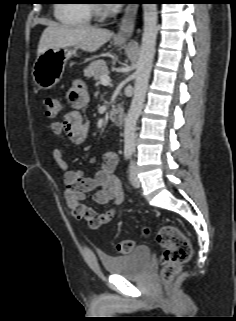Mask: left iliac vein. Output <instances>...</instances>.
<instances>
[{
  "mask_svg": "<svg viewBox=\"0 0 236 321\" xmlns=\"http://www.w3.org/2000/svg\"><path fill=\"white\" fill-rule=\"evenodd\" d=\"M129 179L133 187L139 188L141 186V182L137 176V169L134 164L131 165Z\"/></svg>",
  "mask_w": 236,
  "mask_h": 321,
  "instance_id": "1",
  "label": "left iliac vein"
}]
</instances>
